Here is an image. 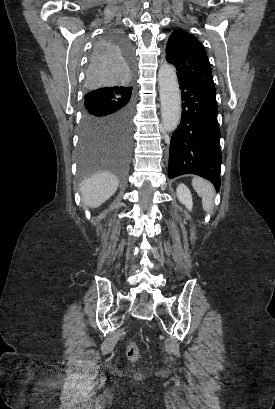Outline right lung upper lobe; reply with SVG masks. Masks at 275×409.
<instances>
[{
	"instance_id": "cb5924a9",
	"label": "right lung upper lobe",
	"mask_w": 275,
	"mask_h": 409,
	"mask_svg": "<svg viewBox=\"0 0 275 409\" xmlns=\"http://www.w3.org/2000/svg\"><path fill=\"white\" fill-rule=\"evenodd\" d=\"M126 89H129V87H125V89H124V90H126Z\"/></svg>"
}]
</instances>
